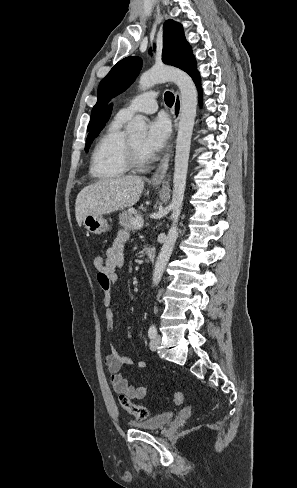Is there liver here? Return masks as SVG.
<instances>
[{
	"mask_svg": "<svg viewBox=\"0 0 297 488\" xmlns=\"http://www.w3.org/2000/svg\"><path fill=\"white\" fill-rule=\"evenodd\" d=\"M143 188L144 180L139 176L105 179L84 187L75 202L78 224L87 214H110L132 207L138 202Z\"/></svg>",
	"mask_w": 297,
	"mask_h": 488,
	"instance_id": "liver-1",
	"label": "liver"
}]
</instances>
